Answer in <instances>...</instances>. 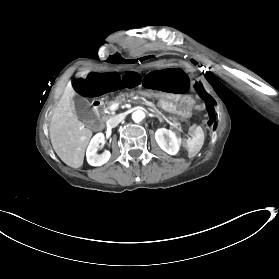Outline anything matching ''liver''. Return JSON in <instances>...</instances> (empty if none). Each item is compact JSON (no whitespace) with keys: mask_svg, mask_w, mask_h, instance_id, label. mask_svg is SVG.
<instances>
[{"mask_svg":"<svg viewBox=\"0 0 279 279\" xmlns=\"http://www.w3.org/2000/svg\"><path fill=\"white\" fill-rule=\"evenodd\" d=\"M75 95L68 85L58 102L50 123V139L53 149L68 166L83 165L85 149L92 137V131L78 120L72 98Z\"/></svg>","mask_w":279,"mask_h":279,"instance_id":"liver-1","label":"liver"}]
</instances>
